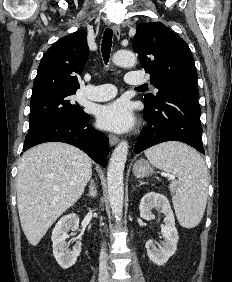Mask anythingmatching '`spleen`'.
Instances as JSON below:
<instances>
[{
  "instance_id": "3e777b00",
  "label": "spleen",
  "mask_w": 232,
  "mask_h": 282,
  "mask_svg": "<svg viewBox=\"0 0 232 282\" xmlns=\"http://www.w3.org/2000/svg\"><path fill=\"white\" fill-rule=\"evenodd\" d=\"M153 166L174 174L178 180L169 185L179 223L185 228L197 226L207 203L208 171L203 158L190 147L168 142L145 151Z\"/></svg>"
}]
</instances>
